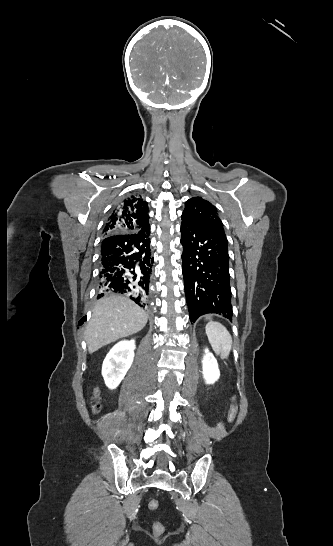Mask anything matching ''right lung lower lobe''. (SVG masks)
Instances as JSON below:
<instances>
[{"label": "right lung lower lobe", "mask_w": 333, "mask_h": 546, "mask_svg": "<svg viewBox=\"0 0 333 546\" xmlns=\"http://www.w3.org/2000/svg\"><path fill=\"white\" fill-rule=\"evenodd\" d=\"M149 226L132 232L105 235L101 242L98 298L117 292L139 306H147L153 257Z\"/></svg>", "instance_id": "right-lung-lower-lobe-1"}]
</instances>
